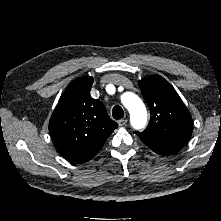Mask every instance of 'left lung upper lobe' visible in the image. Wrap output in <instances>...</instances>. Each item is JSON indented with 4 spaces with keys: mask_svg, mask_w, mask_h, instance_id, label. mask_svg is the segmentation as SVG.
I'll return each mask as SVG.
<instances>
[{
    "mask_svg": "<svg viewBox=\"0 0 221 221\" xmlns=\"http://www.w3.org/2000/svg\"><path fill=\"white\" fill-rule=\"evenodd\" d=\"M139 87L151 114L149 125L143 132L168 139L189 140L192 117L172 85L163 77L153 75L140 80Z\"/></svg>",
    "mask_w": 221,
    "mask_h": 221,
    "instance_id": "obj_1",
    "label": "left lung upper lobe"
}]
</instances>
